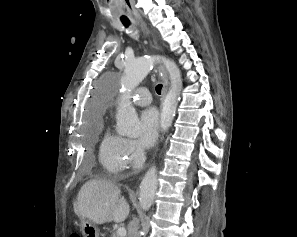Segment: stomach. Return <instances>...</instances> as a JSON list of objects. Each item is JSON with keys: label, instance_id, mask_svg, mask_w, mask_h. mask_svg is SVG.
<instances>
[{"label": "stomach", "instance_id": "0dacf381", "mask_svg": "<svg viewBox=\"0 0 297 237\" xmlns=\"http://www.w3.org/2000/svg\"><path fill=\"white\" fill-rule=\"evenodd\" d=\"M80 230L84 237H99L98 226L90 220H82Z\"/></svg>", "mask_w": 297, "mask_h": 237}]
</instances>
